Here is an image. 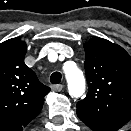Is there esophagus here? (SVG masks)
Segmentation results:
<instances>
[{
	"label": "esophagus",
	"instance_id": "1",
	"mask_svg": "<svg viewBox=\"0 0 131 131\" xmlns=\"http://www.w3.org/2000/svg\"><path fill=\"white\" fill-rule=\"evenodd\" d=\"M63 89V85L57 84V85H52V90L60 92Z\"/></svg>",
	"mask_w": 131,
	"mask_h": 131
}]
</instances>
